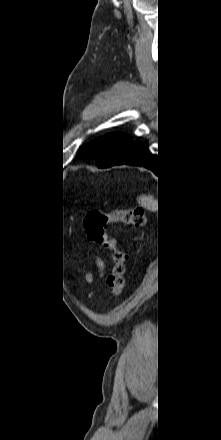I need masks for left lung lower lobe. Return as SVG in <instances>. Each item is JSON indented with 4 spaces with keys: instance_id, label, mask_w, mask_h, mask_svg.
Returning a JSON list of instances; mask_svg holds the SVG:
<instances>
[{
    "instance_id": "obj_1",
    "label": "left lung lower lobe",
    "mask_w": 221,
    "mask_h": 440,
    "mask_svg": "<svg viewBox=\"0 0 221 440\" xmlns=\"http://www.w3.org/2000/svg\"><path fill=\"white\" fill-rule=\"evenodd\" d=\"M114 165H134L141 166L152 170L159 175L161 165L158 163L155 155L148 150V145L140 141L131 142L124 156ZM111 165V166H114ZM110 166V167H111ZM107 168V167H106Z\"/></svg>"
}]
</instances>
